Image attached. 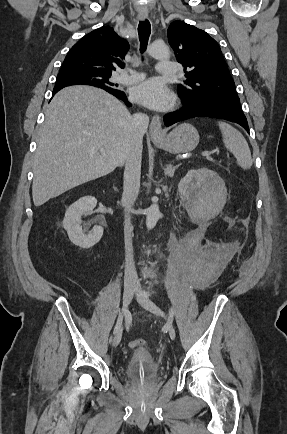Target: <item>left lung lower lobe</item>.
I'll use <instances>...</instances> for the list:
<instances>
[{
  "mask_svg": "<svg viewBox=\"0 0 287 434\" xmlns=\"http://www.w3.org/2000/svg\"><path fill=\"white\" fill-rule=\"evenodd\" d=\"M182 103L181 109L164 116L163 120L166 126L193 117H213L238 123L249 132L247 119L240 107V101L182 99Z\"/></svg>",
  "mask_w": 287,
  "mask_h": 434,
  "instance_id": "left-lung-lower-lobe-1",
  "label": "left lung lower lobe"
}]
</instances>
